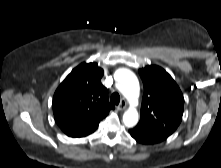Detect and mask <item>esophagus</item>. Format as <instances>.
Returning a JSON list of instances; mask_svg holds the SVG:
<instances>
[{"mask_svg":"<svg viewBox=\"0 0 221 168\" xmlns=\"http://www.w3.org/2000/svg\"><path fill=\"white\" fill-rule=\"evenodd\" d=\"M127 107V102L125 101V99H122L119 106H118V110H125Z\"/></svg>","mask_w":221,"mask_h":168,"instance_id":"obj_1","label":"esophagus"}]
</instances>
